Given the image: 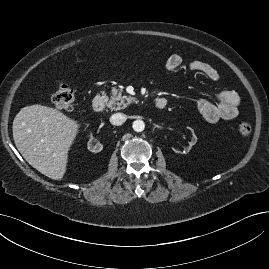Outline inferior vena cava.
Listing matches in <instances>:
<instances>
[{"label": "inferior vena cava", "mask_w": 269, "mask_h": 269, "mask_svg": "<svg viewBox=\"0 0 269 269\" xmlns=\"http://www.w3.org/2000/svg\"><path fill=\"white\" fill-rule=\"evenodd\" d=\"M127 119V116L125 114H122V113H116V114H113L111 117H110V123L112 125H122Z\"/></svg>", "instance_id": "inferior-vena-cava-1"}]
</instances>
